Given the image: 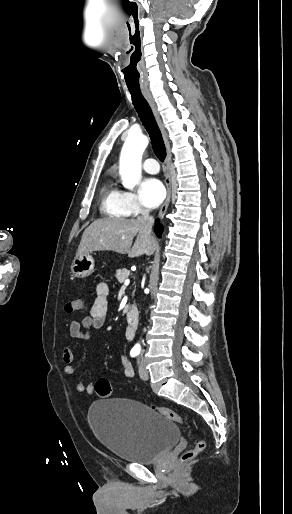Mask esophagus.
I'll return each mask as SVG.
<instances>
[{"mask_svg": "<svg viewBox=\"0 0 292 514\" xmlns=\"http://www.w3.org/2000/svg\"><path fill=\"white\" fill-rule=\"evenodd\" d=\"M142 94L144 95L145 99L147 100L148 104L150 105L151 109H152V112L154 114V117H155V120L157 122V124L159 125V128L161 129V132L163 134V138H164V142H165V146H166V151H167V156H166V174H165V184H166V188H167V197H166V200L164 201V204L162 205V207L160 208L159 210V218H163L167 209H168V206L170 204V198H171V177H170V165H171V151H170V144L168 142V139H167V136L165 134V131H164V127H163V124H162V121H161V118L157 112V109H156V106H155V103L151 97V94L149 92V90H141Z\"/></svg>", "mask_w": 292, "mask_h": 514, "instance_id": "1", "label": "esophagus"}]
</instances>
